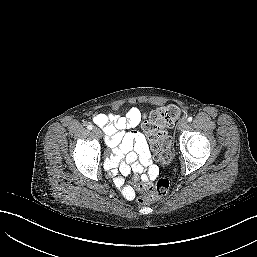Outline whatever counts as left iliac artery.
<instances>
[{"mask_svg": "<svg viewBox=\"0 0 257 257\" xmlns=\"http://www.w3.org/2000/svg\"><path fill=\"white\" fill-rule=\"evenodd\" d=\"M192 120H193L192 117H188V119H187L188 122H191Z\"/></svg>", "mask_w": 257, "mask_h": 257, "instance_id": "1", "label": "left iliac artery"}]
</instances>
